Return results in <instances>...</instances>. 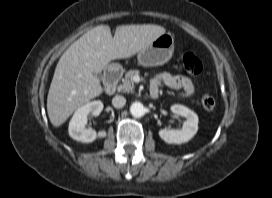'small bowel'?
<instances>
[{
    "mask_svg": "<svg viewBox=\"0 0 272 198\" xmlns=\"http://www.w3.org/2000/svg\"><path fill=\"white\" fill-rule=\"evenodd\" d=\"M161 83H164L173 89L181 90V95L183 97H190L194 93V85L189 78L172 75L170 73H161L152 81L151 93L153 96L156 95L157 88Z\"/></svg>",
    "mask_w": 272,
    "mask_h": 198,
    "instance_id": "small-bowel-1",
    "label": "small bowel"
}]
</instances>
